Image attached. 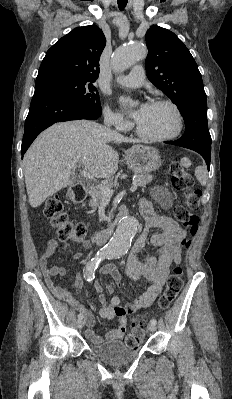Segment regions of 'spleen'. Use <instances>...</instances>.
Instances as JSON below:
<instances>
[{"label": "spleen", "mask_w": 232, "mask_h": 399, "mask_svg": "<svg viewBox=\"0 0 232 399\" xmlns=\"http://www.w3.org/2000/svg\"><path fill=\"white\" fill-rule=\"evenodd\" d=\"M195 176L198 182H200L201 186H206L208 180L206 166H198V168L195 170Z\"/></svg>", "instance_id": "obj_1"}]
</instances>
